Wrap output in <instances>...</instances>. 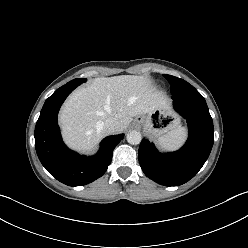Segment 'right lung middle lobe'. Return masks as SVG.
I'll list each match as a JSON object with an SVG mask.
<instances>
[{
	"mask_svg": "<svg viewBox=\"0 0 248 248\" xmlns=\"http://www.w3.org/2000/svg\"><path fill=\"white\" fill-rule=\"evenodd\" d=\"M86 81V79L85 78H78V79H74V80H72V81H70V82H80V83H83V82H85ZM69 83V82H68Z\"/></svg>",
	"mask_w": 248,
	"mask_h": 248,
	"instance_id": "obj_1",
	"label": "right lung middle lobe"
}]
</instances>
